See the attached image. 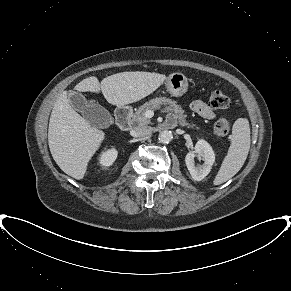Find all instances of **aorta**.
<instances>
[{"label": "aorta", "instance_id": "obj_1", "mask_svg": "<svg viewBox=\"0 0 291 291\" xmlns=\"http://www.w3.org/2000/svg\"><path fill=\"white\" fill-rule=\"evenodd\" d=\"M172 139H173V134L169 130L162 131L158 136V140L161 143H169Z\"/></svg>", "mask_w": 291, "mask_h": 291}]
</instances>
